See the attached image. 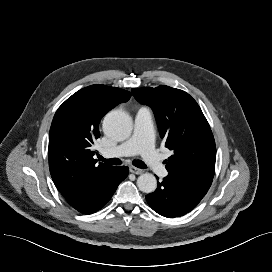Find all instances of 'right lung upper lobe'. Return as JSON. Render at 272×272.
Masks as SVG:
<instances>
[{"label": "right lung upper lobe", "instance_id": "1", "mask_svg": "<svg viewBox=\"0 0 272 272\" xmlns=\"http://www.w3.org/2000/svg\"><path fill=\"white\" fill-rule=\"evenodd\" d=\"M130 97V92L120 88L91 85L58 108L49 133V169L66 200L83 194L115 170L116 167L97 163L92 145L100 137L101 118Z\"/></svg>", "mask_w": 272, "mask_h": 272}]
</instances>
